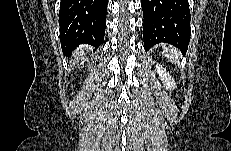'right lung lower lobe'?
<instances>
[{"label": "right lung lower lobe", "instance_id": "98d812e1", "mask_svg": "<svg viewBox=\"0 0 231 151\" xmlns=\"http://www.w3.org/2000/svg\"><path fill=\"white\" fill-rule=\"evenodd\" d=\"M107 0H61L60 42L65 55L80 44L99 47L104 40Z\"/></svg>", "mask_w": 231, "mask_h": 151}]
</instances>
